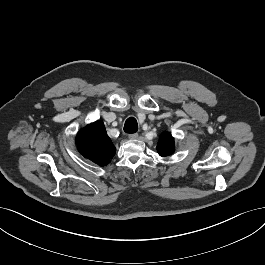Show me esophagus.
Instances as JSON below:
<instances>
[{
  "instance_id": "esophagus-1",
  "label": "esophagus",
  "mask_w": 265,
  "mask_h": 265,
  "mask_svg": "<svg viewBox=\"0 0 265 265\" xmlns=\"http://www.w3.org/2000/svg\"><path fill=\"white\" fill-rule=\"evenodd\" d=\"M128 137H129V139L134 140V139H137L138 138V134L137 133L129 134Z\"/></svg>"
}]
</instances>
